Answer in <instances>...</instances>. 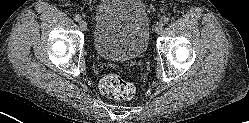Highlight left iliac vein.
<instances>
[{
  "label": "left iliac vein",
  "instance_id": "4c4485c4",
  "mask_svg": "<svg viewBox=\"0 0 249 123\" xmlns=\"http://www.w3.org/2000/svg\"><path fill=\"white\" fill-rule=\"evenodd\" d=\"M164 29V24L162 22H157L155 25V32L160 34Z\"/></svg>",
  "mask_w": 249,
  "mask_h": 123
}]
</instances>
